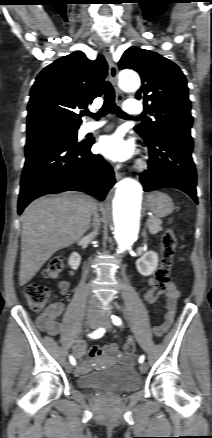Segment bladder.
Segmentation results:
<instances>
[{
	"label": "bladder",
	"instance_id": "31cf9c89",
	"mask_svg": "<svg viewBox=\"0 0 212 438\" xmlns=\"http://www.w3.org/2000/svg\"><path fill=\"white\" fill-rule=\"evenodd\" d=\"M82 388H110L117 393L136 390L141 380L135 370L130 367H111L106 370L81 376L77 380Z\"/></svg>",
	"mask_w": 212,
	"mask_h": 438
}]
</instances>
